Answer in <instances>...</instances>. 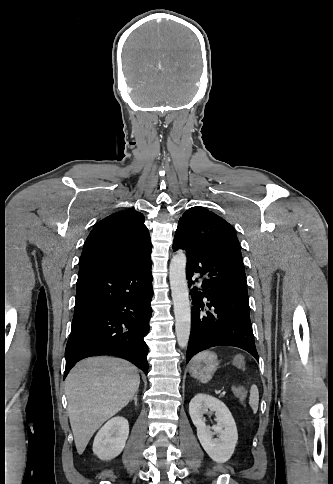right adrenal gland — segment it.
Segmentation results:
<instances>
[{
    "mask_svg": "<svg viewBox=\"0 0 333 484\" xmlns=\"http://www.w3.org/2000/svg\"><path fill=\"white\" fill-rule=\"evenodd\" d=\"M134 400V403H135V406H137V393L134 395V397L132 398Z\"/></svg>",
    "mask_w": 333,
    "mask_h": 484,
    "instance_id": "2a0ac1e0",
    "label": "right adrenal gland"
}]
</instances>
